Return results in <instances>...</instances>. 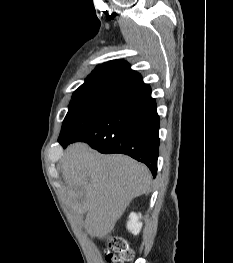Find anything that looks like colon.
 <instances>
[{
	"label": "colon",
	"mask_w": 233,
	"mask_h": 263,
	"mask_svg": "<svg viewBox=\"0 0 233 263\" xmlns=\"http://www.w3.org/2000/svg\"><path fill=\"white\" fill-rule=\"evenodd\" d=\"M134 258V251L129 248L127 242L119 236L110 238L106 248V260L108 263H129Z\"/></svg>",
	"instance_id": "5ec220e1"
}]
</instances>
